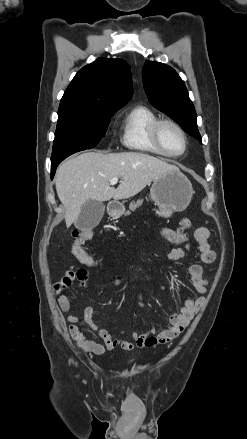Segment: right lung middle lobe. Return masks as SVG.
<instances>
[{
  "mask_svg": "<svg viewBox=\"0 0 247 439\" xmlns=\"http://www.w3.org/2000/svg\"><path fill=\"white\" fill-rule=\"evenodd\" d=\"M116 111L59 110L51 166L71 154L95 147L106 134L110 117Z\"/></svg>",
  "mask_w": 247,
  "mask_h": 439,
  "instance_id": "1",
  "label": "right lung middle lobe"
}]
</instances>
